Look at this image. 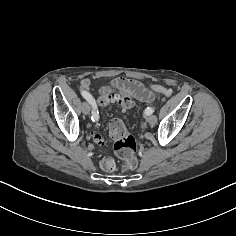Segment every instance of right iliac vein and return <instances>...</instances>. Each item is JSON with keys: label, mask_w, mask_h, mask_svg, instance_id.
<instances>
[{"label": "right iliac vein", "mask_w": 236, "mask_h": 236, "mask_svg": "<svg viewBox=\"0 0 236 236\" xmlns=\"http://www.w3.org/2000/svg\"><path fill=\"white\" fill-rule=\"evenodd\" d=\"M81 111L83 112V114H86V115L89 114L90 106H89V104L87 102H83L81 104Z\"/></svg>", "instance_id": "right-iliac-vein-1"}]
</instances>
